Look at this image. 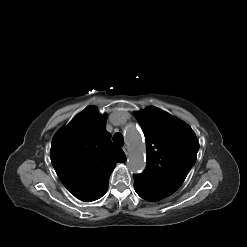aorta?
<instances>
[{
    "label": "aorta",
    "instance_id": "obj_1",
    "mask_svg": "<svg viewBox=\"0 0 247 247\" xmlns=\"http://www.w3.org/2000/svg\"><path fill=\"white\" fill-rule=\"evenodd\" d=\"M124 134L130 149L127 165L131 172L137 173L144 169L145 160V144L143 138L133 123H125Z\"/></svg>",
    "mask_w": 247,
    "mask_h": 247
}]
</instances>
